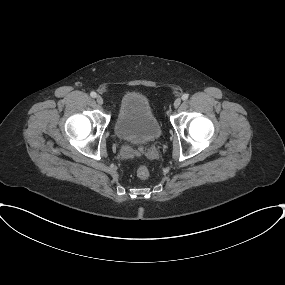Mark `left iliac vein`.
<instances>
[{
    "label": "left iliac vein",
    "mask_w": 285,
    "mask_h": 285,
    "mask_svg": "<svg viewBox=\"0 0 285 285\" xmlns=\"http://www.w3.org/2000/svg\"><path fill=\"white\" fill-rule=\"evenodd\" d=\"M181 104V99L180 98H177L175 101H174V107L175 108H178Z\"/></svg>",
    "instance_id": "4c4485c4"
}]
</instances>
